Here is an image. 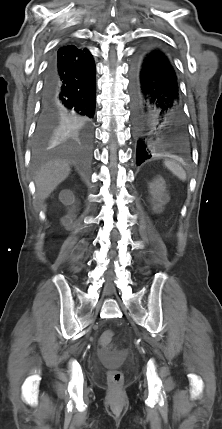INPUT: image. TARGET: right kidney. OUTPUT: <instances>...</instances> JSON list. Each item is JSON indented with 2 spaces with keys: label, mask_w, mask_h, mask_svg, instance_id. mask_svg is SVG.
I'll return each instance as SVG.
<instances>
[{
  "label": "right kidney",
  "mask_w": 222,
  "mask_h": 429,
  "mask_svg": "<svg viewBox=\"0 0 222 429\" xmlns=\"http://www.w3.org/2000/svg\"><path fill=\"white\" fill-rule=\"evenodd\" d=\"M60 201L65 205H73L75 203V196L71 190H63L59 194ZM74 223V216L72 210L61 219V224L66 229H71Z\"/></svg>",
  "instance_id": "obj_1"
}]
</instances>
